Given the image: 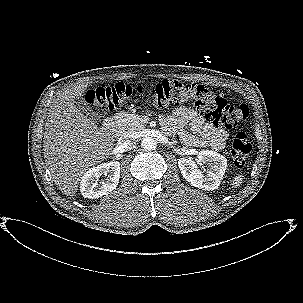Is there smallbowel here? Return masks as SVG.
<instances>
[{
	"instance_id": "small-bowel-1",
	"label": "small bowel",
	"mask_w": 303,
	"mask_h": 303,
	"mask_svg": "<svg viewBox=\"0 0 303 303\" xmlns=\"http://www.w3.org/2000/svg\"><path fill=\"white\" fill-rule=\"evenodd\" d=\"M161 122L168 134H178L183 143L190 146H210L222 150L228 138L226 130L206 122L200 113L187 107H178L170 115L162 117ZM187 125L190 132L185 129Z\"/></svg>"
}]
</instances>
